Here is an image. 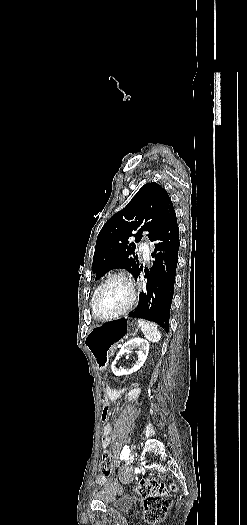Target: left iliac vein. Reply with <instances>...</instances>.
<instances>
[{
  "mask_svg": "<svg viewBox=\"0 0 247 525\" xmlns=\"http://www.w3.org/2000/svg\"><path fill=\"white\" fill-rule=\"evenodd\" d=\"M134 459H135V454L134 453L130 454L125 464L123 465L122 469L128 468L131 465V463L134 461Z\"/></svg>",
  "mask_w": 247,
  "mask_h": 525,
  "instance_id": "1",
  "label": "left iliac vein"
}]
</instances>
